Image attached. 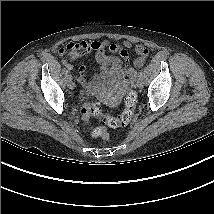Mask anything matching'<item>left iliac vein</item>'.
<instances>
[{"label":"left iliac vein","instance_id":"1","mask_svg":"<svg viewBox=\"0 0 214 214\" xmlns=\"http://www.w3.org/2000/svg\"><path fill=\"white\" fill-rule=\"evenodd\" d=\"M141 81H142L141 78H138V79H137V85H138V86H140V85L142 84Z\"/></svg>","mask_w":214,"mask_h":214}]
</instances>
